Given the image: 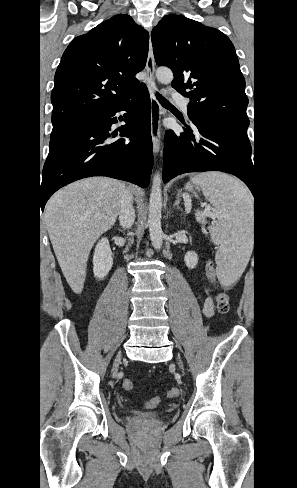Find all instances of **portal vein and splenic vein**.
Wrapping results in <instances>:
<instances>
[{
	"label": "portal vein and splenic vein",
	"instance_id": "18ae733b",
	"mask_svg": "<svg viewBox=\"0 0 297 488\" xmlns=\"http://www.w3.org/2000/svg\"><path fill=\"white\" fill-rule=\"evenodd\" d=\"M186 212L189 213L190 212V206L188 205L187 208H186ZM205 212L206 213H210V206H206L205 207Z\"/></svg>",
	"mask_w": 297,
	"mask_h": 488
}]
</instances>
